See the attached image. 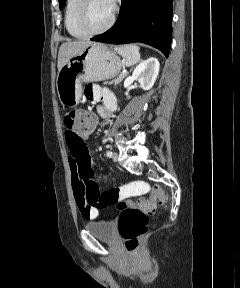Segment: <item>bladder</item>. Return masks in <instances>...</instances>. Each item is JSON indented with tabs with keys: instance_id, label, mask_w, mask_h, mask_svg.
Instances as JSON below:
<instances>
[{
	"instance_id": "1",
	"label": "bladder",
	"mask_w": 240,
	"mask_h": 288,
	"mask_svg": "<svg viewBox=\"0 0 240 288\" xmlns=\"http://www.w3.org/2000/svg\"><path fill=\"white\" fill-rule=\"evenodd\" d=\"M84 228L87 232L100 240L106 242H114L116 240V227L111 221L98 220L88 222L85 224Z\"/></svg>"
}]
</instances>
